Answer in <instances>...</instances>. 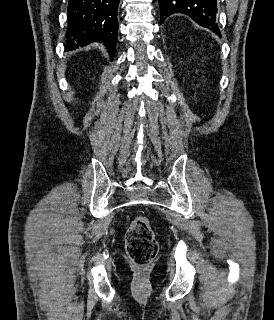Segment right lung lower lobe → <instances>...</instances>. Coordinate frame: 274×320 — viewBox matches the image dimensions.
Here are the masks:
<instances>
[{
	"mask_svg": "<svg viewBox=\"0 0 274 320\" xmlns=\"http://www.w3.org/2000/svg\"><path fill=\"white\" fill-rule=\"evenodd\" d=\"M119 0H69L66 50L91 42H104L113 57L116 53Z\"/></svg>",
	"mask_w": 274,
	"mask_h": 320,
	"instance_id": "obj_1",
	"label": "right lung lower lobe"
}]
</instances>
